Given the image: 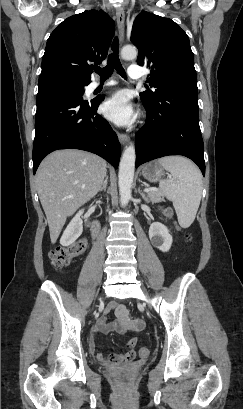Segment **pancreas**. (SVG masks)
<instances>
[{
    "label": "pancreas",
    "mask_w": 243,
    "mask_h": 409,
    "mask_svg": "<svg viewBox=\"0 0 243 409\" xmlns=\"http://www.w3.org/2000/svg\"><path fill=\"white\" fill-rule=\"evenodd\" d=\"M161 200H162V196H161V194L159 192H157V191L148 192L147 201L155 203V202H159Z\"/></svg>",
    "instance_id": "pancreas-1"
}]
</instances>
